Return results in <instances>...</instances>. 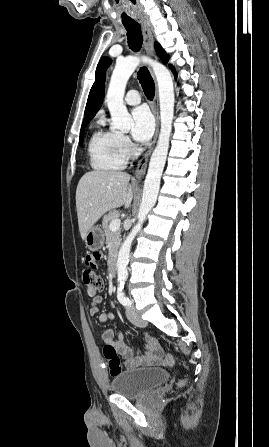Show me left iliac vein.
<instances>
[{"instance_id": "left-iliac-vein-1", "label": "left iliac vein", "mask_w": 269, "mask_h": 447, "mask_svg": "<svg viewBox=\"0 0 269 447\" xmlns=\"http://www.w3.org/2000/svg\"><path fill=\"white\" fill-rule=\"evenodd\" d=\"M126 315L128 320L138 327H145L146 322L137 314L136 309L133 306H128L126 308Z\"/></svg>"}]
</instances>
